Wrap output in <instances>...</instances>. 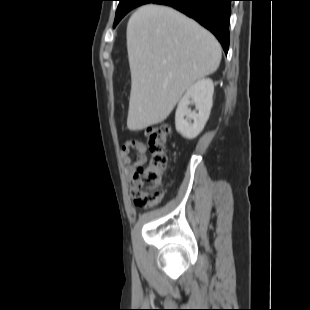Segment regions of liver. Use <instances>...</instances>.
Returning <instances> with one entry per match:
<instances>
[{"label": "liver", "mask_w": 310, "mask_h": 310, "mask_svg": "<svg viewBox=\"0 0 310 310\" xmlns=\"http://www.w3.org/2000/svg\"><path fill=\"white\" fill-rule=\"evenodd\" d=\"M127 51L131 131L163 122L184 92L214 73L221 61V46L209 31L170 7L153 4L130 17Z\"/></svg>", "instance_id": "6515ba94"}]
</instances>
